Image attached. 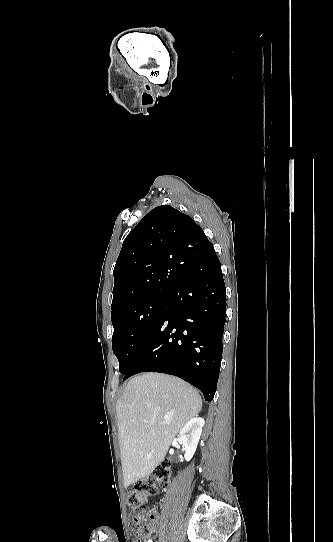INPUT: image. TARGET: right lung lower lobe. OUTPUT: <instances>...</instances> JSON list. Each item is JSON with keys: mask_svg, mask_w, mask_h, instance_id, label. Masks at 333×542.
Listing matches in <instances>:
<instances>
[{"mask_svg": "<svg viewBox=\"0 0 333 542\" xmlns=\"http://www.w3.org/2000/svg\"><path fill=\"white\" fill-rule=\"evenodd\" d=\"M183 280L139 347L124 379L140 372L178 376L211 401L217 388L226 317V290L212 244L169 253Z\"/></svg>", "mask_w": 333, "mask_h": 542, "instance_id": "1", "label": "right lung lower lobe"}]
</instances>
